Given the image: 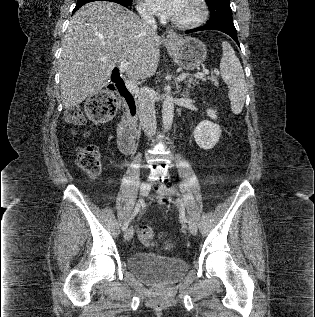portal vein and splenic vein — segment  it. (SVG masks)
I'll return each instance as SVG.
<instances>
[{"label": "portal vein and splenic vein", "instance_id": "obj_1", "mask_svg": "<svg viewBox=\"0 0 315 317\" xmlns=\"http://www.w3.org/2000/svg\"><path fill=\"white\" fill-rule=\"evenodd\" d=\"M128 65H129V63H128L127 60L121 61L120 65H119L120 72L124 73L127 70ZM207 74H209V70H203L202 72L195 73L194 77L202 78V77H204ZM186 77H187V74L183 73V74H180L178 76L177 80L180 82V81H183ZM125 84H126V87L128 88V90L131 91L132 93H134V94H138L139 93V88L136 85V83H134L133 81L126 80Z\"/></svg>", "mask_w": 315, "mask_h": 317}]
</instances>
